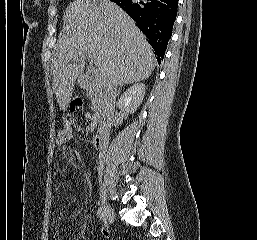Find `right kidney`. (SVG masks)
<instances>
[{"mask_svg":"<svg viewBox=\"0 0 257 240\" xmlns=\"http://www.w3.org/2000/svg\"><path fill=\"white\" fill-rule=\"evenodd\" d=\"M145 85L135 84L128 88L119 98L117 106L126 113L133 114L143 101Z\"/></svg>","mask_w":257,"mask_h":240,"instance_id":"1","label":"right kidney"}]
</instances>
